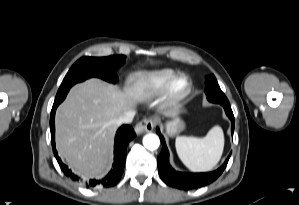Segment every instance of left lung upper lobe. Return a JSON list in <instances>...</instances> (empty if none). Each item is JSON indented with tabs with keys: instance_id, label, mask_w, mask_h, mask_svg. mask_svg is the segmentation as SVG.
<instances>
[{
	"instance_id": "1",
	"label": "left lung upper lobe",
	"mask_w": 299,
	"mask_h": 205,
	"mask_svg": "<svg viewBox=\"0 0 299 205\" xmlns=\"http://www.w3.org/2000/svg\"><path fill=\"white\" fill-rule=\"evenodd\" d=\"M205 93L207 95V99L210 102H220L223 100H228L224 93L221 91L214 75H210L206 78Z\"/></svg>"
}]
</instances>
